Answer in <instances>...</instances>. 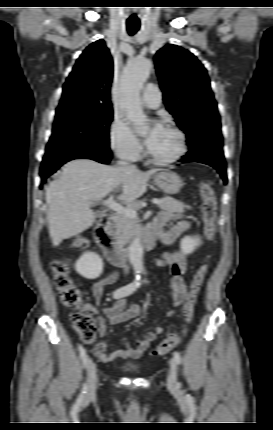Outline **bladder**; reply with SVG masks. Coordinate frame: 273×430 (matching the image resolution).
I'll return each mask as SVG.
<instances>
[{
  "instance_id": "1",
  "label": "bladder",
  "mask_w": 273,
  "mask_h": 430,
  "mask_svg": "<svg viewBox=\"0 0 273 430\" xmlns=\"http://www.w3.org/2000/svg\"><path fill=\"white\" fill-rule=\"evenodd\" d=\"M135 369H136V367H135V366H130V367H128V368H127V370H128V371H133V370H135Z\"/></svg>"
}]
</instances>
